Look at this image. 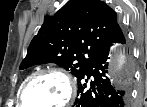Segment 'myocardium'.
I'll return each mask as SVG.
<instances>
[{
    "instance_id": "myocardium-1",
    "label": "myocardium",
    "mask_w": 147,
    "mask_h": 107,
    "mask_svg": "<svg viewBox=\"0 0 147 107\" xmlns=\"http://www.w3.org/2000/svg\"><path fill=\"white\" fill-rule=\"evenodd\" d=\"M45 75H56V76L60 77L64 81V83L67 87V95H66L65 100L61 104L54 106V107H66V106H68L69 104L72 103V101L75 97V94H76V86H75L74 80L67 73L62 71L61 69L47 68V69H43V70H40V71L33 73L26 80V82L23 84V86L21 87L20 92H19V104L22 107H29L26 104L25 95H26V92H27L28 88L30 87V85L37 78H39L41 76H45Z\"/></svg>"
}]
</instances>
